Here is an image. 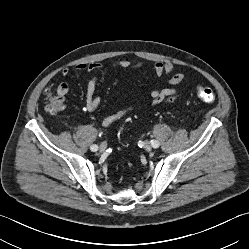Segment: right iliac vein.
<instances>
[{
    "mask_svg": "<svg viewBox=\"0 0 249 249\" xmlns=\"http://www.w3.org/2000/svg\"><path fill=\"white\" fill-rule=\"evenodd\" d=\"M106 148H107V144L106 143H101L100 148H99L100 151H105Z\"/></svg>",
    "mask_w": 249,
    "mask_h": 249,
    "instance_id": "right-iliac-vein-1",
    "label": "right iliac vein"
}]
</instances>
